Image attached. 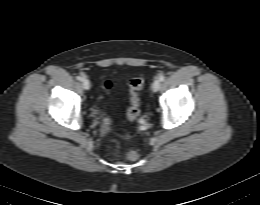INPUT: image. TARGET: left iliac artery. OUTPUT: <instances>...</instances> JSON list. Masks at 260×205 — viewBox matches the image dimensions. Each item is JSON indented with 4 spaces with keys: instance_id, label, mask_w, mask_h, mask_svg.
Listing matches in <instances>:
<instances>
[{
    "instance_id": "obj_1",
    "label": "left iliac artery",
    "mask_w": 260,
    "mask_h": 205,
    "mask_svg": "<svg viewBox=\"0 0 260 205\" xmlns=\"http://www.w3.org/2000/svg\"><path fill=\"white\" fill-rule=\"evenodd\" d=\"M159 80L160 81H164L165 80V76H163V75L159 76Z\"/></svg>"
}]
</instances>
